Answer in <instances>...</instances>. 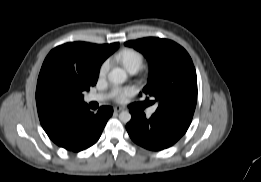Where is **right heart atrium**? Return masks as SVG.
I'll return each mask as SVG.
<instances>
[{
    "label": "right heart atrium",
    "mask_w": 261,
    "mask_h": 182,
    "mask_svg": "<svg viewBox=\"0 0 261 182\" xmlns=\"http://www.w3.org/2000/svg\"><path fill=\"white\" fill-rule=\"evenodd\" d=\"M108 70H109V62L104 61L99 67V71H98L99 77L102 78V77L106 76Z\"/></svg>",
    "instance_id": "right-heart-atrium-1"
}]
</instances>
